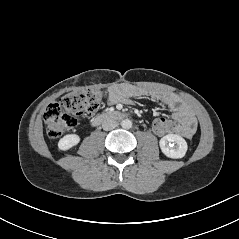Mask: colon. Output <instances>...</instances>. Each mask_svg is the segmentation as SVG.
<instances>
[{
  "label": "colon",
  "instance_id": "1",
  "mask_svg": "<svg viewBox=\"0 0 239 239\" xmlns=\"http://www.w3.org/2000/svg\"><path fill=\"white\" fill-rule=\"evenodd\" d=\"M104 97L102 90L87 89L68 93L58 103L48 105L44 111L47 134L57 138L74 128L82 117L98 111ZM171 131L172 122L166 116H157L151 122V132L156 137H166Z\"/></svg>",
  "mask_w": 239,
  "mask_h": 239
}]
</instances>
